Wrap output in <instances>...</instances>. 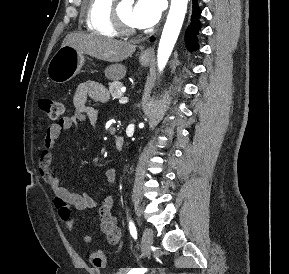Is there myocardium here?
Instances as JSON below:
<instances>
[{"instance_id": "myocardium-1", "label": "myocardium", "mask_w": 289, "mask_h": 274, "mask_svg": "<svg viewBox=\"0 0 289 274\" xmlns=\"http://www.w3.org/2000/svg\"><path fill=\"white\" fill-rule=\"evenodd\" d=\"M113 25L117 32L121 35L132 36L137 33L135 27L128 25L121 17L118 5L114 4L112 8Z\"/></svg>"}]
</instances>
